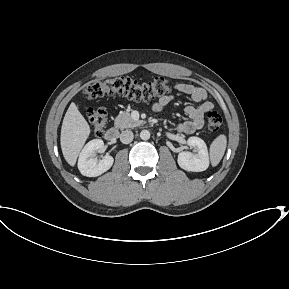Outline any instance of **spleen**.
I'll use <instances>...</instances> for the list:
<instances>
[{
	"label": "spleen",
	"mask_w": 289,
	"mask_h": 289,
	"mask_svg": "<svg viewBox=\"0 0 289 289\" xmlns=\"http://www.w3.org/2000/svg\"><path fill=\"white\" fill-rule=\"evenodd\" d=\"M227 146V138L221 134L210 145V160L212 166H217L221 161Z\"/></svg>",
	"instance_id": "3e777b00"
}]
</instances>
